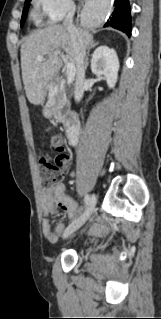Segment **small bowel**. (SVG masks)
I'll list each match as a JSON object with an SVG mask.
<instances>
[{"mask_svg": "<svg viewBox=\"0 0 161 319\" xmlns=\"http://www.w3.org/2000/svg\"><path fill=\"white\" fill-rule=\"evenodd\" d=\"M57 205L65 207L69 216H74L79 211L76 202L66 194V184L64 182H58L52 186L44 187L42 190V208L44 214H52ZM42 231L49 241L55 242L58 239V235L64 231V225L58 223L55 226V231H53L48 220L45 219L43 221ZM107 231V224L100 219L93 227L92 234L99 235Z\"/></svg>", "mask_w": 161, "mask_h": 319, "instance_id": "1", "label": "small bowel"}]
</instances>
